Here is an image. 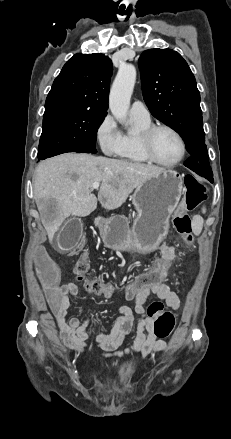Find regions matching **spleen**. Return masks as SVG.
Returning a JSON list of instances; mask_svg holds the SVG:
<instances>
[{"label":"spleen","mask_w":231,"mask_h":439,"mask_svg":"<svg viewBox=\"0 0 231 439\" xmlns=\"http://www.w3.org/2000/svg\"><path fill=\"white\" fill-rule=\"evenodd\" d=\"M202 211L205 212L206 209L203 208ZM192 228H193L194 234L199 235L201 233L202 228H203V219L201 216L196 215L193 217Z\"/></svg>","instance_id":"obj_1"}]
</instances>
